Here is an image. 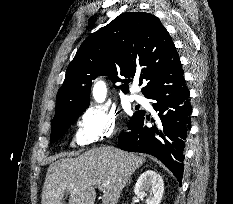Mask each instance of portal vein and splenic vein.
Here are the masks:
<instances>
[{
	"instance_id": "portal-vein-and-splenic-vein-1",
	"label": "portal vein and splenic vein",
	"mask_w": 233,
	"mask_h": 204,
	"mask_svg": "<svg viewBox=\"0 0 233 204\" xmlns=\"http://www.w3.org/2000/svg\"><path fill=\"white\" fill-rule=\"evenodd\" d=\"M98 189H99V190H103V186H102V185H99V186H98Z\"/></svg>"
}]
</instances>
